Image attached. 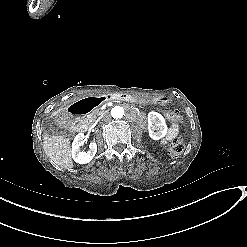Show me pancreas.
I'll use <instances>...</instances> for the list:
<instances>
[{"label": "pancreas", "mask_w": 247, "mask_h": 247, "mask_svg": "<svg viewBox=\"0 0 247 247\" xmlns=\"http://www.w3.org/2000/svg\"><path fill=\"white\" fill-rule=\"evenodd\" d=\"M103 114V111L100 109L96 108L93 111H91L85 118V120L89 123L92 124L93 121L96 120L97 116H100Z\"/></svg>", "instance_id": "obj_1"}]
</instances>
